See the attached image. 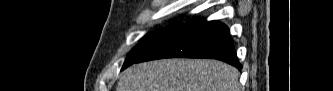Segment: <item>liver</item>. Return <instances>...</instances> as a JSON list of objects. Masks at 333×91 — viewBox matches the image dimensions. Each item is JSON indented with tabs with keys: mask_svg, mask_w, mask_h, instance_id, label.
Instances as JSON below:
<instances>
[{
	"mask_svg": "<svg viewBox=\"0 0 333 91\" xmlns=\"http://www.w3.org/2000/svg\"><path fill=\"white\" fill-rule=\"evenodd\" d=\"M116 91H240L239 72L217 60H156L128 68Z\"/></svg>",
	"mask_w": 333,
	"mask_h": 91,
	"instance_id": "obj_1",
	"label": "liver"
}]
</instances>
